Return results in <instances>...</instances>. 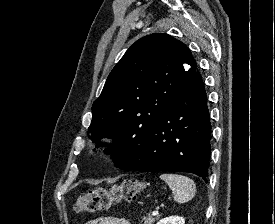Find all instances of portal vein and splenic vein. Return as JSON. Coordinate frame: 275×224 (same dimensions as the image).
I'll use <instances>...</instances> for the list:
<instances>
[{"label":"portal vein and splenic vein","instance_id":"portal-vein-and-splenic-vein-1","mask_svg":"<svg viewBox=\"0 0 275 224\" xmlns=\"http://www.w3.org/2000/svg\"><path fill=\"white\" fill-rule=\"evenodd\" d=\"M159 211L158 210H155L152 212V215L155 216V215H158Z\"/></svg>","mask_w":275,"mask_h":224}]
</instances>
